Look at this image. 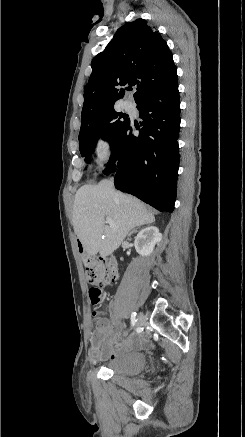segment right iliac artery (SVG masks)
Returning <instances> with one entry per match:
<instances>
[{
    "instance_id": "right-iliac-artery-1",
    "label": "right iliac artery",
    "mask_w": 245,
    "mask_h": 437,
    "mask_svg": "<svg viewBox=\"0 0 245 437\" xmlns=\"http://www.w3.org/2000/svg\"><path fill=\"white\" fill-rule=\"evenodd\" d=\"M136 322H137V315H136L135 312H132V314H131V324H132V327L136 324Z\"/></svg>"
}]
</instances>
